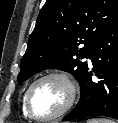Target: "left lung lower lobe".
<instances>
[{
    "label": "left lung lower lobe",
    "instance_id": "0a47b994",
    "mask_svg": "<svg viewBox=\"0 0 118 123\" xmlns=\"http://www.w3.org/2000/svg\"><path fill=\"white\" fill-rule=\"evenodd\" d=\"M93 65L81 83V97L62 120L108 116L118 119V18L102 33L89 55ZM98 77L92 81V74Z\"/></svg>",
    "mask_w": 118,
    "mask_h": 123
}]
</instances>
